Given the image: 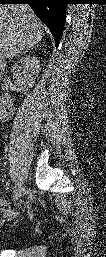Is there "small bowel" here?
Wrapping results in <instances>:
<instances>
[{"mask_svg":"<svg viewBox=\"0 0 106 257\" xmlns=\"http://www.w3.org/2000/svg\"><path fill=\"white\" fill-rule=\"evenodd\" d=\"M1 223L4 222L8 217H10L12 214L9 211L7 205L2 202L1 203Z\"/></svg>","mask_w":106,"mask_h":257,"instance_id":"c3829d8e","label":"small bowel"}]
</instances>
